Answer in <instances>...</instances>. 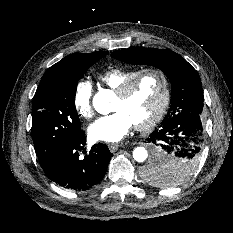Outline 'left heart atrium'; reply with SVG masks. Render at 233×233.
<instances>
[{
    "instance_id": "obj_1",
    "label": "left heart atrium",
    "mask_w": 233,
    "mask_h": 233,
    "mask_svg": "<svg viewBox=\"0 0 233 233\" xmlns=\"http://www.w3.org/2000/svg\"><path fill=\"white\" fill-rule=\"evenodd\" d=\"M134 122L123 110L96 119L88 128L89 136L95 141L117 142L123 139Z\"/></svg>"
}]
</instances>
